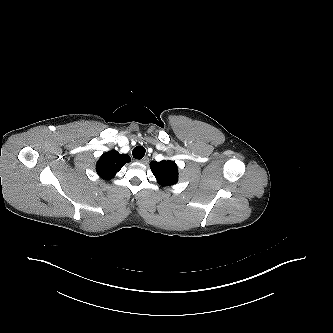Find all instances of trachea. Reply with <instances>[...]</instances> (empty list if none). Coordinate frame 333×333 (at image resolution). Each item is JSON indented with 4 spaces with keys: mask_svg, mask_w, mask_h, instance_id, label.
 Segmentation results:
<instances>
[{
    "mask_svg": "<svg viewBox=\"0 0 333 333\" xmlns=\"http://www.w3.org/2000/svg\"><path fill=\"white\" fill-rule=\"evenodd\" d=\"M145 148L143 146H136L133 151L132 155L135 159H142L145 155Z\"/></svg>",
    "mask_w": 333,
    "mask_h": 333,
    "instance_id": "1",
    "label": "trachea"
}]
</instances>
